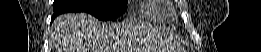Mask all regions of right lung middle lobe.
<instances>
[{"label": "right lung middle lobe", "mask_w": 261, "mask_h": 52, "mask_svg": "<svg viewBox=\"0 0 261 52\" xmlns=\"http://www.w3.org/2000/svg\"><path fill=\"white\" fill-rule=\"evenodd\" d=\"M127 9L126 0H54V14L88 12L99 20L118 17Z\"/></svg>", "instance_id": "obj_1"}]
</instances>
